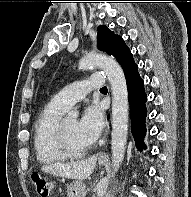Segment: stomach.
Instances as JSON below:
<instances>
[{"label": "stomach", "instance_id": "0dacf381", "mask_svg": "<svg viewBox=\"0 0 191 197\" xmlns=\"http://www.w3.org/2000/svg\"><path fill=\"white\" fill-rule=\"evenodd\" d=\"M99 164L105 165L107 161L99 160ZM85 193V184L81 180H75L67 187L68 197H84Z\"/></svg>", "mask_w": 191, "mask_h": 197}]
</instances>
